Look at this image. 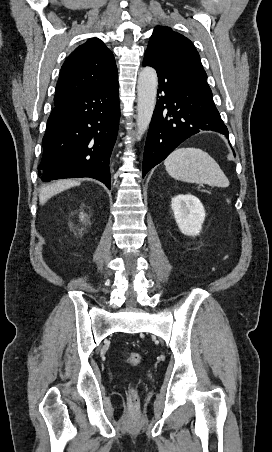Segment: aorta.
<instances>
[{
	"mask_svg": "<svg viewBox=\"0 0 272 452\" xmlns=\"http://www.w3.org/2000/svg\"><path fill=\"white\" fill-rule=\"evenodd\" d=\"M158 79L154 68L144 67L138 75L136 136L140 139L147 130L156 104Z\"/></svg>",
	"mask_w": 272,
	"mask_h": 452,
	"instance_id": "aorta-1",
	"label": "aorta"
}]
</instances>
